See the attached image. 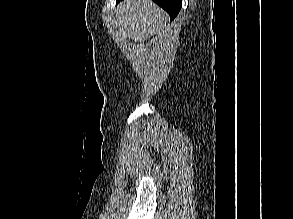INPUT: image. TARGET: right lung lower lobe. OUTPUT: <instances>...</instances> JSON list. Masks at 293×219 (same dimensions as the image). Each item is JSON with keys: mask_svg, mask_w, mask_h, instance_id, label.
<instances>
[{"mask_svg": "<svg viewBox=\"0 0 293 219\" xmlns=\"http://www.w3.org/2000/svg\"><path fill=\"white\" fill-rule=\"evenodd\" d=\"M121 0H117L116 3H119ZM158 5H160L164 10L170 15V19L173 20L179 13L182 0H153Z\"/></svg>", "mask_w": 293, "mask_h": 219, "instance_id": "1", "label": "right lung lower lobe"}]
</instances>
